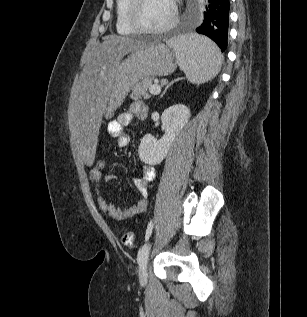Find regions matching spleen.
Wrapping results in <instances>:
<instances>
[{
	"instance_id": "3e777b00",
	"label": "spleen",
	"mask_w": 307,
	"mask_h": 317,
	"mask_svg": "<svg viewBox=\"0 0 307 317\" xmlns=\"http://www.w3.org/2000/svg\"><path fill=\"white\" fill-rule=\"evenodd\" d=\"M167 44L174 49L177 63L191 83L199 85L218 74L222 55L209 38L190 34L171 39Z\"/></svg>"
}]
</instances>
